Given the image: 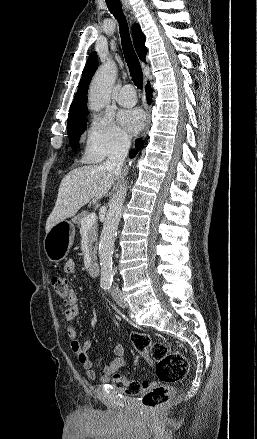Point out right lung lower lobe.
I'll list each match as a JSON object with an SVG mask.
<instances>
[{
    "instance_id": "1",
    "label": "right lung lower lobe",
    "mask_w": 257,
    "mask_h": 439,
    "mask_svg": "<svg viewBox=\"0 0 257 439\" xmlns=\"http://www.w3.org/2000/svg\"><path fill=\"white\" fill-rule=\"evenodd\" d=\"M152 97H153L152 96V88L150 86V83L148 82V84L146 86V98H147L148 104H150L152 102ZM141 144H142V141L140 139L136 140V148L137 149H132L130 151V157H134L137 154Z\"/></svg>"
}]
</instances>
